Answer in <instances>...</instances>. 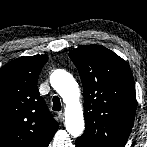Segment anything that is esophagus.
<instances>
[{"label": "esophagus", "instance_id": "1", "mask_svg": "<svg viewBox=\"0 0 147 147\" xmlns=\"http://www.w3.org/2000/svg\"><path fill=\"white\" fill-rule=\"evenodd\" d=\"M58 118L60 121L64 120V113L62 111L58 113Z\"/></svg>", "mask_w": 147, "mask_h": 147}]
</instances>
